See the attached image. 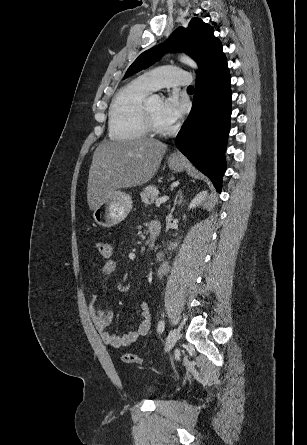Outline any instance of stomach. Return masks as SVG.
<instances>
[{
	"label": "stomach",
	"mask_w": 307,
	"mask_h": 445,
	"mask_svg": "<svg viewBox=\"0 0 307 445\" xmlns=\"http://www.w3.org/2000/svg\"><path fill=\"white\" fill-rule=\"evenodd\" d=\"M169 168L180 172L183 166L180 160H168ZM132 208V196L123 192V190H114L106 200H102L101 204L93 210V218L100 227H116L122 220L126 218Z\"/></svg>",
	"instance_id": "1"
}]
</instances>
